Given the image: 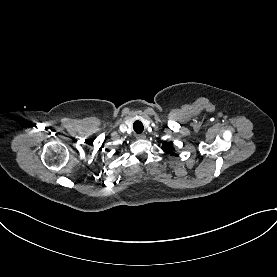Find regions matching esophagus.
I'll list each match as a JSON object with an SVG mask.
<instances>
[{
	"mask_svg": "<svg viewBox=\"0 0 277 277\" xmlns=\"http://www.w3.org/2000/svg\"><path fill=\"white\" fill-rule=\"evenodd\" d=\"M136 138H137V139H140V140H143V139L146 138V135H145V134H138V135L136 136Z\"/></svg>",
	"mask_w": 277,
	"mask_h": 277,
	"instance_id": "obj_1",
	"label": "esophagus"
}]
</instances>
